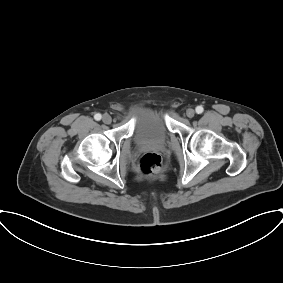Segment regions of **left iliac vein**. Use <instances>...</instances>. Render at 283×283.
Listing matches in <instances>:
<instances>
[{
    "label": "left iliac vein",
    "instance_id": "obj_1",
    "mask_svg": "<svg viewBox=\"0 0 283 283\" xmlns=\"http://www.w3.org/2000/svg\"><path fill=\"white\" fill-rule=\"evenodd\" d=\"M186 115H187L188 118H193L194 115H195L194 109H192V108L187 109L186 110Z\"/></svg>",
    "mask_w": 283,
    "mask_h": 283
}]
</instances>
